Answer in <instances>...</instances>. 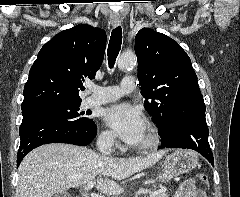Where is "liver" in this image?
<instances>
[{
    "mask_svg": "<svg viewBox=\"0 0 240 197\" xmlns=\"http://www.w3.org/2000/svg\"><path fill=\"white\" fill-rule=\"evenodd\" d=\"M162 155L113 158L70 144L43 145L21 162L16 197H52L90 181L101 193L116 194L119 181L152 166Z\"/></svg>",
    "mask_w": 240,
    "mask_h": 197,
    "instance_id": "6515ba94",
    "label": "liver"
}]
</instances>
